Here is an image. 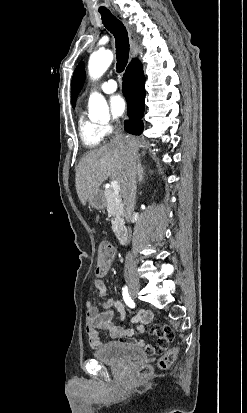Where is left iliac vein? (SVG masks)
Listing matches in <instances>:
<instances>
[{
  "instance_id": "left-iliac-vein-1",
  "label": "left iliac vein",
  "mask_w": 247,
  "mask_h": 413,
  "mask_svg": "<svg viewBox=\"0 0 247 413\" xmlns=\"http://www.w3.org/2000/svg\"><path fill=\"white\" fill-rule=\"evenodd\" d=\"M133 297V299H135L136 298V295L135 296H132Z\"/></svg>"
}]
</instances>
